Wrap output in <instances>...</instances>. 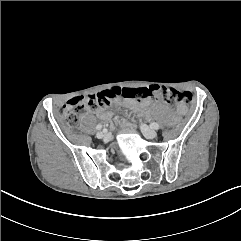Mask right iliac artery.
<instances>
[{
	"label": "right iliac artery",
	"instance_id": "1",
	"mask_svg": "<svg viewBox=\"0 0 241 241\" xmlns=\"http://www.w3.org/2000/svg\"><path fill=\"white\" fill-rule=\"evenodd\" d=\"M96 129H97V130H101V129H102V125H101V124H98V125L96 126Z\"/></svg>",
	"mask_w": 241,
	"mask_h": 241
}]
</instances>
